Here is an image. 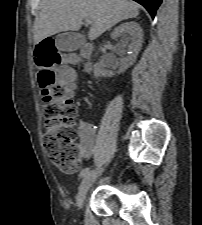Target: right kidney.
I'll return each instance as SVG.
<instances>
[{"mask_svg":"<svg viewBox=\"0 0 202 225\" xmlns=\"http://www.w3.org/2000/svg\"><path fill=\"white\" fill-rule=\"evenodd\" d=\"M113 39L121 37L120 46L122 48L121 53L128 55L121 59L120 69L118 74L125 72L136 61L137 55L141 49L143 42V32L140 25L137 22H125L116 27L111 33ZM127 48V50H125ZM113 72H108L103 68L101 63L94 65V76H113Z\"/></svg>","mask_w":202,"mask_h":225,"instance_id":"obj_1","label":"right kidney"}]
</instances>
